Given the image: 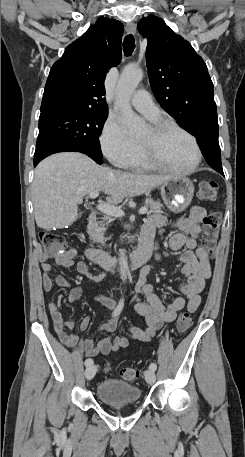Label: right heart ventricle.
<instances>
[{"label":"right heart ventricle","mask_w":245,"mask_h":457,"mask_svg":"<svg viewBox=\"0 0 245 457\" xmlns=\"http://www.w3.org/2000/svg\"><path fill=\"white\" fill-rule=\"evenodd\" d=\"M122 165L129 169H145L148 167L139 157L137 145L134 153Z\"/></svg>","instance_id":"1"}]
</instances>
